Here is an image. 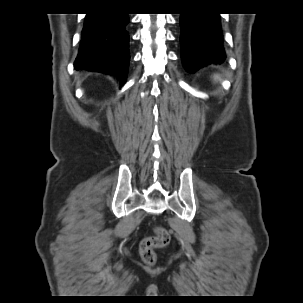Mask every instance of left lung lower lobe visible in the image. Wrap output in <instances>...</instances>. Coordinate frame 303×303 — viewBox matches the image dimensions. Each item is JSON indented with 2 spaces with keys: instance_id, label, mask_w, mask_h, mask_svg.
Here are the masks:
<instances>
[{
  "instance_id": "1",
  "label": "left lung lower lobe",
  "mask_w": 303,
  "mask_h": 303,
  "mask_svg": "<svg viewBox=\"0 0 303 303\" xmlns=\"http://www.w3.org/2000/svg\"><path fill=\"white\" fill-rule=\"evenodd\" d=\"M180 26L181 58L187 71L194 73L208 65L225 61L219 14H181Z\"/></svg>"
}]
</instances>
